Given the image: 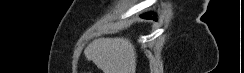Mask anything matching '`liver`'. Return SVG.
<instances>
[{
  "label": "liver",
  "mask_w": 244,
  "mask_h": 73,
  "mask_svg": "<svg viewBox=\"0 0 244 73\" xmlns=\"http://www.w3.org/2000/svg\"><path fill=\"white\" fill-rule=\"evenodd\" d=\"M103 73H135V47L127 38H100L91 42L84 50Z\"/></svg>",
  "instance_id": "1"
}]
</instances>
